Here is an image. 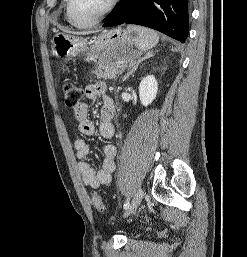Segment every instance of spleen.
Here are the masks:
<instances>
[{
	"instance_id": "obj_1",
	"label": "spleen",
	"mask_w": 247,
	"mask_h": 257,
	"mask_svg": "<svg viewBox=\"0 0 247 257\" xmlns=\"http://www.w3.org/2000/svg\"><path fill=\"white\" fill-rule=\"evenodd\" d=\"M128 31L135 35L134 42L135 45L141 51H147L154 47L158 41L159 36L158 34L148 28L130 25L127 27Z\"/></svg>"
}]
</instances>
